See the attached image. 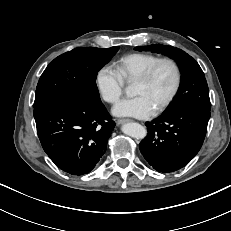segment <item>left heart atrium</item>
Instances as JSON below:
<instances>
[{
  "label": "left heart atrium",
  "instance_id": "1",
  "mask_svg": "<svg viewBox=\"0 0 231 231\" xmlns=\"http://www.w3.org/2000/svg\"><path fill=\"white\" fill-rule=\"evenodd\" d=\"M112 111L116 116L145 119L155 113V108L145 96L137 95L122 99L114 106Z\"/></svg>",
  "mask_w": 231,
  "mask_h": 231
}]
</instances>
